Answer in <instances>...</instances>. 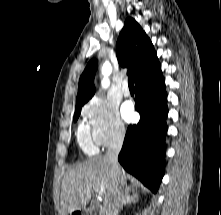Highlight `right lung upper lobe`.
<instances>
[{
  "label": "right lung upper lobe",
  "mask_w": 221,
  "mask_h": 215,
  "mask_svg": "<svg viewBox=\"0 0 221 215\" xmlns=\"http://www.w3.org/2000/svg\"><path fill=\"white\" fill-rule=\"evenodd\" d=\"M116 54L119 64L122 67H129L127 74L134 76L135 84L161 70L151 40L131 17L126 19L119 34ZM97 67V60L91 59L80 76L76 105L85 104L94 95V77Z\"/></svg>",
  "instance_id": "obj_1"
}]
</instances>
